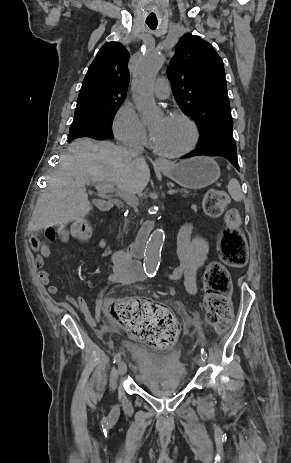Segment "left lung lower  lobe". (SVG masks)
<instances>
[{
	"mask_svg": "<svg viewBox=\"0 0 291 463\" xmlns=\"http://www.w3.org/2000/svg\"><path fill=\"white\" fill-rule=\"evenodd\" d=\"M201 155L224 157L227 160H229L235 166V168L239 171L236 150L221 149V148H202V147L197 146V149L185 155L183 158H189V157L201 156Z\"/></svg>",
	"mask_w": 291,
	"mask_h": 463,
	"instance_id": "1",
	"label": "left lung lower lobe"
}]
</instances>
